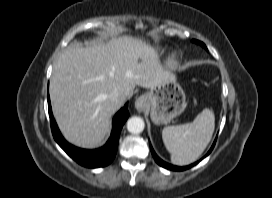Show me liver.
I'll return each instance as SVG.
<instances>
[{
  "instance_id": "liver-1",
  "label": "liver",
  "mask_w": 272,
  "mask_h": 198,
  "mask_svg": "<svg viewBox=\"0 0 272 198\" xmlns=\"http://www.w3.org/2000/svg\"><path fill=\"white\" fill-rule=\"evenodd\" d=\"M155 49L141 38L113 37L65 50L50 82L53 114L67 141L93 148L136 85L153 89L168 77ZM118 89V101L110 93Z\"/></svg>"
}]
</instances>
